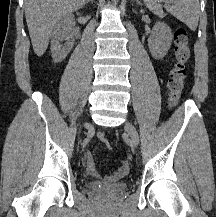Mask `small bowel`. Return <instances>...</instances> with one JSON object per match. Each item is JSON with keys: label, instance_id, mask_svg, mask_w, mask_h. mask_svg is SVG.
<instances>
[{"label": "small bowel", "instance_id": "obj_1", "mask_svg": "<svg viewBox=\"0 0 216 217\" xmlns=\"http://www.w3.org/2000/svg\"><path fill=\"white\" fill-rule=\"evenodd\" d=\"M85 164L87 173L94 178H99L98 166L90 151H87L85 154ZM116 177V175H111L106 178V181L114 182L116 180Z\"/></svg>", "mask_w": 216, "mask_h": 217}]
</instances>
